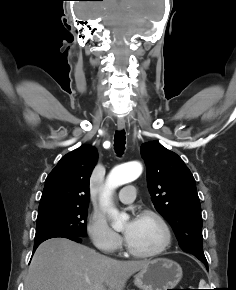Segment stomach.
Instances as JSON below:
<instances>
[{
	"label": "stomach",
	"mask_w": 236,
	"mask_h": 290,
	"mask_svg": "<svg viewBox=\"0 0 236 290\" xmlns=\"http://www.w3.org/2000/svg\"><path fill=\"white\" fill-rule=\"evenodd\" d=\"M181 266L170 259L158 258L141 269L134 276V284L140 290L174 289L182 278Z\"/></svg>",
	"instance_id": "obj_1"
}]
</instances>
